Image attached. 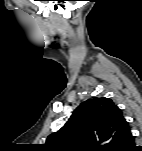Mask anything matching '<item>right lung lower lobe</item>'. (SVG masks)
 I'll use <instances>...</instances> for the list:
<instances>
[{"label":"right lung lower lobe","instance_id":"right-lung-lower-lobe-1","mask_svg":"<svg viewBox=\"0 0 142 151\" xmlns=\"http://www.w3.org/2000/svg\"><path fill=\"white\" fill-rule=\"evenodd\" d=\"M140 147H136L134 145V140L124 149H122L121 151H134V150H139Z\"/></svg>","mask_w":142,"mask_h":151}]
</instances>
